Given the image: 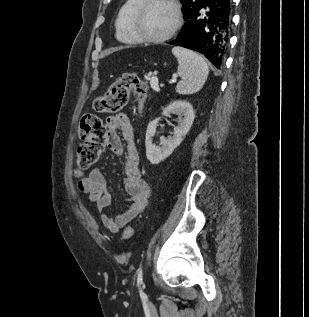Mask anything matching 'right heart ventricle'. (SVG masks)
<instances>
[{
    "label": "right heart ventricle",
    "instance_id": "1",
    "mask_svg": "<svg viewBox=\"0 0 309 317\" xmlns=\"http://www.w3.org/2000/svg\"><path fill=\"white\" fill-rule=\"evenodd\" d=\"M142 2V0H125L118 11L115 20L116 38L125 44H137L139 40L131 31L130 19L133 11Z\"/></svg>",
    "mask_w": 309,
    "mask_h": 317
}]
</instances>
